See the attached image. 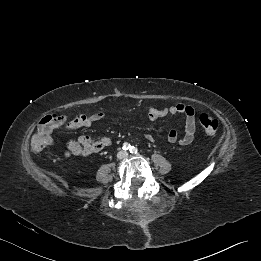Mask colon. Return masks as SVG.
<instances>
[{"instance_id": "colon-1", "label": "colon", "mask_w": 261, "mask_h": 261, "mask_svg": "<svg viewBox=\"0 0 261 261\" xmlns=\"http://www.w3.org/2000/svg\"><path fill=\"white\" fill-rule=\"evenodd\" d=\"M63 120L64 117L59 114H50L39 122L31 139V147L35 152H41L52 141L54 128ZM199 123L207 135H215L219 127L218 121L207 113L200 114Z\"/></svg>"}]
</instances>
